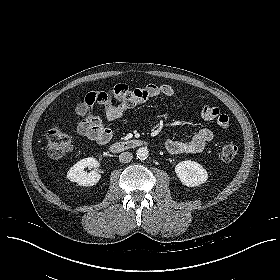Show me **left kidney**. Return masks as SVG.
I'll return each mask as SVG.
<instances>
[{
	"label": "left kidney",
	"instance_id": "5707ae66",
	"mask_svg": "<svg viewBox=\"0 0 280 280\" xmlns=\"http://www.w3.org/2000/svg\"><path fill=\"white\" fill-rule=\"evenodd\" d=\"M175 173L183 185L195 187L208 179V173L202 165L195 161L185 160L175 166Z\"/></svg>",
	"mask_w": 280,
	"mask_h": 280
}]
</instances>
